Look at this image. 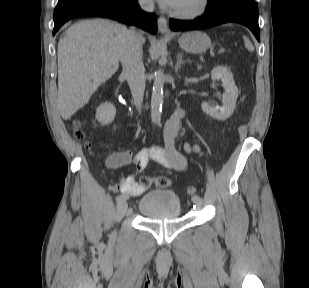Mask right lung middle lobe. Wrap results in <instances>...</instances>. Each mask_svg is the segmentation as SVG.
I'll return each instance as SVG.
<instances>
[{"instance_id":"obj_1","label":"right lung middle lobe","mask_w":309,"mask_h":288,"mask_svg":"<svg viewBox=\"0 0 309 288\" xmlns=\"http://www.w3.org/2000/svg\"><path fill=\"white\" fill-rule=\"evenodd\" d=\"M77 0H59L56 6L55 11H59L64 9L65 7L71 5L72 3L76 2Z\"/></svg>"}]
</instances>
